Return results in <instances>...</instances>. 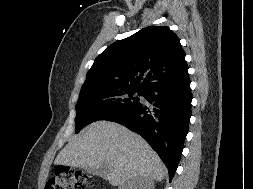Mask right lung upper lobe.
<instances>
[{
  "mask_svg": "<svg viewBox=\"0 0 253 189\" xmlns=\"http://www.w3.org/2000/svg\"><path fill=\"white\" fill-rule=\"evenodd\" d=\"M188 66L180 40L167 26H149L114 42L96 59L81 92L107 86H126L145 91L180 81Z\"/></svg>",
  "mask_w": 253,
  "mask_h": 189,
  "instance_id": "1",
  "label": "right lung upper lobe"
}]
</instances>
